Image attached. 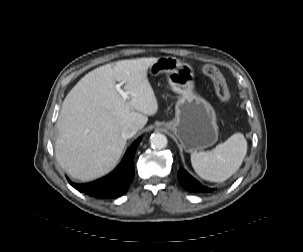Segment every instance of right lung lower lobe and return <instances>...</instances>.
I'll list each match as a JSON object with an SVG mask.
<instances>
[{
    "mask_svg": "<svg viewBox=\"0 0 303 252\" xmlns=\"http://www.w3.org/2000/svg\"><path fill=\"white\" fill-rule=\"evenodd\" d=\"M141 138L128 149L121 165L110 175L92 183H69L78 191L97 198H115L124 194L134 177V155Z\"/></svg>",
    "mask_w": 303,
    "mask_h": 252,
    "instance_id": "98d812e1",
    "label": "right lung lower lobe"
}]
</instances>
